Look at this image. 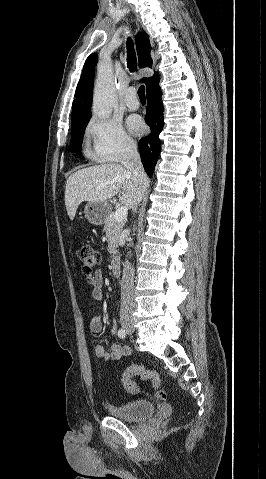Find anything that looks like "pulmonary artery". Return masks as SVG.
I'll list each match as a JSON object with an SVG mask.
<instances>
[{
	"label": "pulmonary artery",
	"instance_id": "obj_1",
	"mask_svg": "<svg viewBox=\"0 0 266 479\" xmlns=\"http://www.w3.org/2000/svg\"><path fill=\"white\" fill-rule=\"evenodd\" d=\"M125 104L129 110H137L139 108V100L134 88H129L125 96Z\"/></svg>",
	"mask_w": 266,
	"mask_h": 479
}]
</instances>
